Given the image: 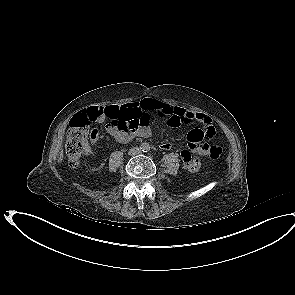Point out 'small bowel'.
Returning <instances> with one entry per match:
<instances>
[{
    "instance_id": "1",
    "label": "small bowel",
    "mask_w": 295,
    "mask_h": 295,
    "mask_svg": "<svg viewBox=\"0 0 295 295\" xmlns=\"http://www.w3.org/2000/svg\"><path fill=\"white\" fill-rule=\"evenodd\" d=\"M113 110L118 113V117H126L139 122V126L133 130L119 128L115 120L106 123V132L120 143H128L135 137H149L152 133L149 126L150 113H155L159 117L166 118L168 126L172 128L193 121L201 123L203 126L201 129L194 128L189 131L187 134L189 148L181 151V160L184 167L192 170L200 168V158L205 156L209 151V145L203 143V141L212 139L216 134L212 120L207 114L191 111L151 98L130 102L119 107L109 106L103 108L94 106L86 109L81 115L86 116L92 122L103 123L107 119L105 112H112ZM98 137L99 133L95 130L91 135L92 143H96ZM171 146L169 141H162L160 143V147L165 150L170 149ZM86 152L88 154L93 153L90 148H87Z\"/></svg>"
}]
</instances>
